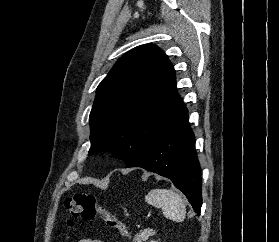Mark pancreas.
<instances>
[{
	"label": "pancreas",
	"instance_id": "1",
	"mask_svg": "<svg viewBox=\"0 0 279 242\" xmlns=\"http://www.w3.org/2000/svg\"><path fill=\"white\" fill-rule=\"evenodd\" d=\"M152 234H153V231L150 229H145L143 231H140V233H138L135 236L134 242H142V241L146 240Z\"/></svg>",
	"mask_w": 279,
	"mask_h": 242
}]
</instances>
